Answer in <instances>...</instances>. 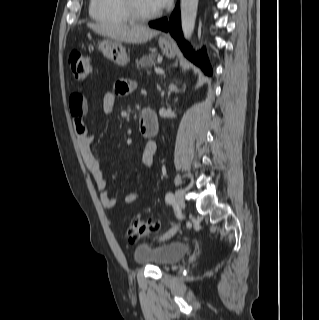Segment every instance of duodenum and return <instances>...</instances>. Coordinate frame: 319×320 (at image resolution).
Masks as SVG:
<instances>
[{"label":"duodenum","instance_id":"410a0bca","mask_svg":"<svg viewBox=\"0 0 319 320\" xmlns=\"http://www.w3.org/2000/svg\"><path fill=\"white\" fill-rule=\"evenodd\" d=\"M139 129L145 136H154L159 132L158 118L154 110L147 108L142 111Z\"/></svg>","mask_w":319,"mask_h":320}]
</instances>
